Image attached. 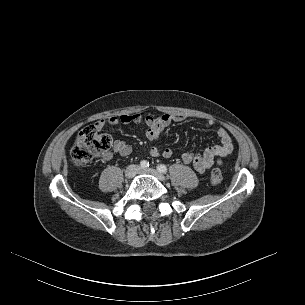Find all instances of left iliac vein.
Here are the masks:
<instances>
[{
	"label": "left iliac vein",
	"instance_id": "obj_1",
	"mask_svg": "<svg viewBox=\"0 0 305 305\" xmlns=\"http://www.w3.org/2000/svg\"><path fill=\"white\" fill-rule=\"evenodd\" d=\"M138 173L153 175L154 177H156L160 181H165L166 180V178L163 174H161L160 172H158V171H156L155 169H152V168L139 169Z\"/></svg>",
	"mask_w": 305,
	"mask_h": 305
}]
</instances>
